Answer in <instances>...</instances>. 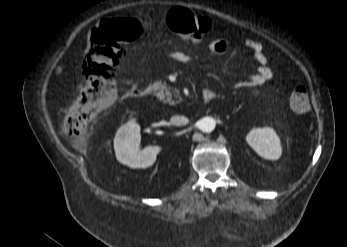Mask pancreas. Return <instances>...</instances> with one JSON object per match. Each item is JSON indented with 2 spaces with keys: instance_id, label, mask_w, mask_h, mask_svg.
I'll return each mask as SVG.
<instances>
[{
  "instance_id": "cf45deb5",
  "label": "pancreas",
  "mask_w": 347,
  "mask_h": 247,
  "mask_svg": "<svg viewBox=\"0 0 347 247\" xmlns=\"http://www.w3.org/2000/svg\"><path fill=\"white\" fill-rule=\"evenodd\" d=\"M152 89L155 91V95L163 102L173 103L172 93L168 89L166 83L155 82L152 85Z\"/></svg>"
}]
</instances>
